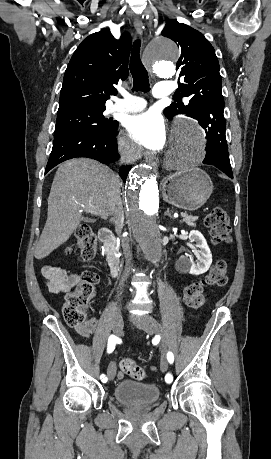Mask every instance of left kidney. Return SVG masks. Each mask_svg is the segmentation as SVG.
I'll return each instance as SVG.
<instances>
[{
  "instance_id": "1",
  "label": "left kidney",
  "mask_w": 271,
  "mask_h": 459,
  "mask_svg": "<svg viewBox=\"0 0 271 459\" xmlns=\"http://www.w3.org/2000/svg\"><path fill=\"white\" fill-rule=\"evenodd\" d=\"M189 239H195L197 247H200L199 261H196L195 263L193 259H189V257L182 255L181 267L182 269H185V271L193 273V275H200V273H205V271L209 269L212 263V253L207 245L204 235H202L201 231H198V229H192V231H190Z\"/></svg>"
}]
</instances>
